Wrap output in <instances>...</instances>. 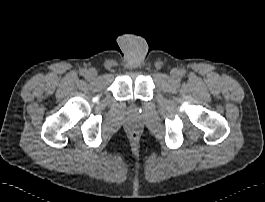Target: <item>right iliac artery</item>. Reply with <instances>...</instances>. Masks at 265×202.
Listing matches in <instances>:
<instances>
[{
	"label": "right iliac artery",
	"instance_id": "right-iliac-artery-1",
	"mask_svg": "<svg viewBox=\"0 0 265 202\" xmlns=\"http://www.w3.org/2000/svg\"><path fill=\"white\" fill-rule=\"evenodd\" d=\"M82 75L87 78L88 75H89V71L88 70H83L82 71Z\"/></svg>",
	"mask_w": 265,
	"mask_h": 202
}]
</instances>
